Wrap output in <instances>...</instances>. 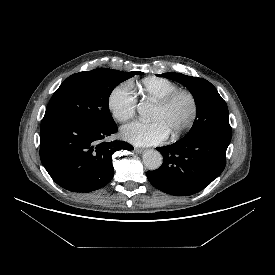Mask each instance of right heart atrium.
I'll return each instance as SVG.
<instances>
[{"label":"right heart atrium","mask_w":275,"mask_h":275,"mask_svg":"<svg viewBox=\"0 0 275 275\" xmlns=\"http://www.w3.org/2000/svg\"><path fill=\"white\" fill-rule=\"evenodd\" d=\"M108 108L113 118L124 123L136 113L137 96L131 81H124L115 86L108 97Z\"/></svg>","instance_id":"obj_1"}]
</instances>
